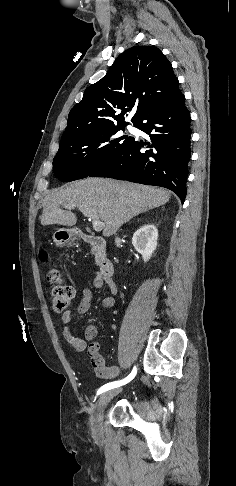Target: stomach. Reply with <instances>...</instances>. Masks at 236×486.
Masks as SVG:
<instances>
[{
  "label": "stomach",
  "mask_w": 236,
  "mask_h": 486,
  "mask_svg": "<svg viewBox=\"0 0 236 486\" xmlns=\"http://www.w3.org/2000/svg\"><path fill=\"white\" fill-rule=\"evenodd\" d=\"M52 238L56 246H69L76 239V233L74 229L59 228L53 232Z\"/></svg>",
  "instance_id": "obj_1"
}]
</instances>
